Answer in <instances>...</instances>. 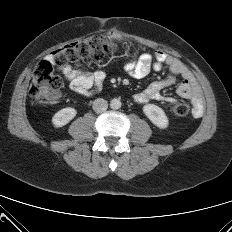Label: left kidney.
I'll return each mask as SVG.
<instances>
[{"label": "left kidney", "instance_id": "left-kidney-1", "mask_svg": "<svg viewBox=\"0 0 232 232\" xmlns=\"http://www.w3.org/2000/svg\"><path fill=\"white\" fill-rule=\"evenodd\" d=\"M143 112L147 118L157 127L165 129L168 127V118L162 108L154 104H146Z\"/></svg>", "mask_w": 232, "mask_h": 232}]
</instances>
